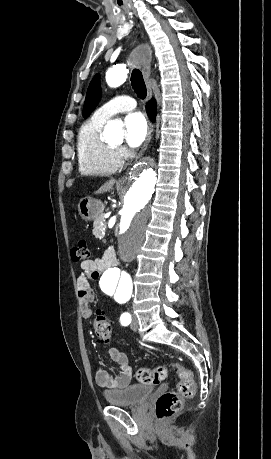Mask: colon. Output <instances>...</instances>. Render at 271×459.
Returning a JSON list of instances; mask_svg holds the SVG:
<instances>
[{"mask_svg": "<svg viewBox=\"0 0 271 459\" xmlns=\"http://www.w3.org/2000/svg\"><path fill=\"white\" fill-rule=\"evenodd\" d=\"M90 256L91 252L86 241H79L71 249V258L75 262L88 260ZM93 329L101 343H108L111 340V324L101 309L95 313ZM170 367L177 373L179 382L174 390L167 391L157 398L155 412L159 420L174 416L181 409L183 401L192 398L195 392L192 371L179 363H173ZM167 373L168 367L159 365L154 368H140L136 371L135 377L142 384L158 385L166 378Z\"/></svg>", "mask_w": 271, "mask_h": 459, "instance_id": "1", "label": "colon"}]
</instances>
